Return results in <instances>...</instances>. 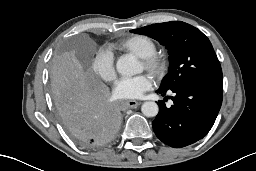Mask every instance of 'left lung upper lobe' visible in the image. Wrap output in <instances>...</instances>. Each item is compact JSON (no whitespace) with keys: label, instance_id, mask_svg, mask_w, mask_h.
Wrapping results in <instances>:
<instances>
[{"label":"left lung upper lobe","instance_id":"left-lung-upper-lobe-1","mask_svg":"<svg viewBox=\"0 0 256 171\" xmlns=\"http://www.w3.org/2000/svg\"><path fill=\"white\" fill-rule=\"evenodd\" d=\"M131 32L148 35L168 49L169 72L159 90L166 92L189 81L223 83L221 66L211 42L194 26L171 21Z\"/></svg>","mask_w":256,"mask_h":171}]
</instances>
